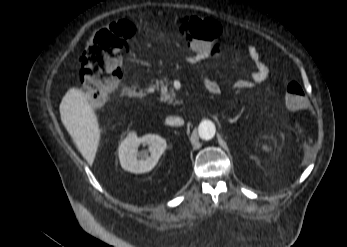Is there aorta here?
<instances>
[{"mask_svg":"<svg viewBox=\"0 0 347 247\" xmlns=\"http://www.w3.org/2000/svg\"><path fill=\"white\" fill-rule=\"evenodd\" d=\"M215 125L209 120L201 122L199 125V135L204 140H210L215 135Z\"/></svg>","mask_w":347,"mask_h":247,"instance_id":"obj_1","label":"aorta"}]
</instances>
